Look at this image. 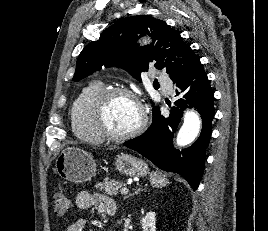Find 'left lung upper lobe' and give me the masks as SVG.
<instances>
[{
  "instance_id": "5c2ea615",
  "label": "left lung upper lobe",
  "mask_w": 268,
  "mask_h": 231,
  "mask_svg": "<svg viewBox=\"0 0 268 231\" xmlns=\"http://www.w3.org/2000/svg\"><path fill=\"white\" fill-rule=\"evenodd\" d=\"M150 35L157 43L137 45L139 36ZM197 56L180 33L164 21L148 15L121 19L104 30L97 41L80 53L73 81L87 77L104 65L122 67L141 81V72L149 66L166 70L170 78L183 73ZM153 107V117L159 113Z\"/></svg>"
}]
</instances>
